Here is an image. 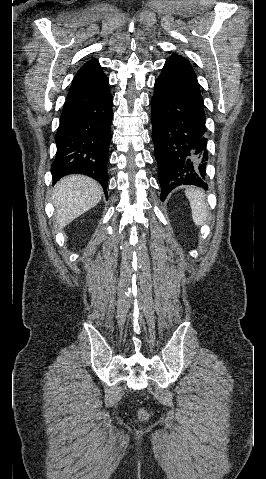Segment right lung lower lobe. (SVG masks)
Here are the masks:
<instances>
[{"label":"right lung lower lobe","instance_id":"right-lung-lower-lobe-1","mask_svg":"<svg viewBox=\"0 0 266 479\" xmlns=\"http://www.w3.org/2000/svg\"><path fill=\"white\" fill-rule=\"evenodd\" d=\"M112 103L104 73L72 82L55 135L53 183L68 174H85L97 180L107 196Z\"/></svg>","mask_w":266,"mask_h":479}]
</instances>
